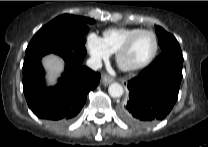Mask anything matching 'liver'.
I'll return each instance as SVG.
<instances>
[{"instance_id": "obj_1", "label": "liver", "mask_w": 208, "mask_h": 147, "mask_svg": "<svg viewBox=\"0 0 208 147\" xmlns=\"http://www.w3.org/2000/svg\"><path fill=\"white\" fill-rule=\"evenodd\" d=\"M42 64L46 71V86L56 85L61 73L64 71V61L59 56L50 53L43 57Z\"/></svg>"}]
</instances>
